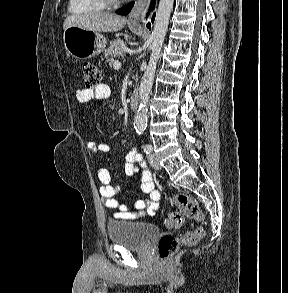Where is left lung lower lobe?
Here are the masks:
<instances>
[{"instance_id": "left-lung-lower-lobe-1", "label": "left lung lower lobe", "mask_w": 288, "mask_h": 293, "mask_svg": "<svg viewBox=\"0 0 288 293\" xmlns=\"http://www.w3.org/2000/svg\"><path fill=\"white\" fill-rule=\"evenodd\" d=\"M133 6H134V2H132V3L128 4V5H126V6H124L123 8L118 9L116 11V13L117 14H121V15H127L131 11V9L133 8ZM153 20H154V17L152 18V22H153ZM147 27L150 28V24L149 23H148Z\"/></svg>"}]
</instances>
